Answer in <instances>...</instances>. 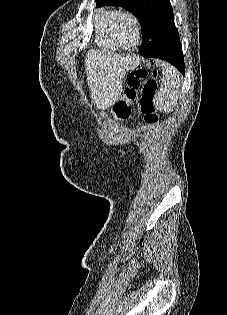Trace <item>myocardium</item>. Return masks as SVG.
<instances>
[{
    "label": "myocardium",
    "instance_id": "1",
    "mask_svg": "<svg viewBox=\"0 0 227 315\" xmlns=\"http://www.w3.org/2000/svg\"><path fill=\"white\" fill-rule=\"evenodd\" d=\"M124 19H130L134 23L135 28H136L137 41H136V44L134 46H132V47H125V46H123L122 43L120 42V39H119V36H118V27H119L120 23ZM112 33H113V38H114L115 43L117 44V46L120 49H122L124 51H134L142 43L143 35H142V24H141V21H140L139 17L135 13H133L131 11H122L117 16V18L115 19L114 24H113Z\"/></svg>",
    "mask_w": 227,
    "mask_h": 315
}]
</instances>
